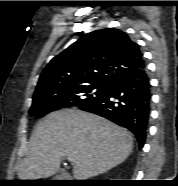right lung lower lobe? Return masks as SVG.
Instances as JSON below:
<instances>
[{"instance_id": "98d812e1", "label": "right lung lower lobe", "mask_w": 178, "mask_h": 186, "mask_svg": "<svg viewBox=\"0 0 178 186\" xmlns=\"http://www.w3.org/2000/svg\"><path fill=\"white\" fill-rule=\"evenodd\" d=\"M104 94L80 109L129 129L143 147L150 116V84L145 63L114 78Z\"/></svg>"}]
</instances>
